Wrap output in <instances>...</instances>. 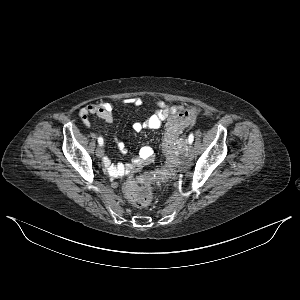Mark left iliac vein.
<instances>
[{
    "mask_svg": "<svg viewBox=\"0 0 300 300\" xmlns=\"http://www.w3.org/2000/svg\"><path fill=\"white\" fill-rule=\"evenodd\" d=\"M185 148H186V152H187L188 158L192 159V157H193V149H192V146L190 145V143L186 144Z\"/></svg>",
    "mask_w": 300,
    "mask_h": 300,
    "instance_id": "1",
    "label": "left iliac vein"
}]
</instances>
